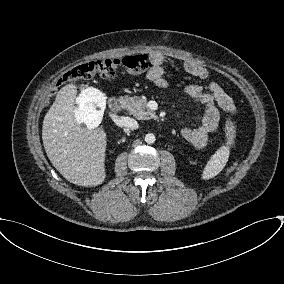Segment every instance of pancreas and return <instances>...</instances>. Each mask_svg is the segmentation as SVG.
Masks as SVG:
<instances>
[{
  "mask_svg": "<svg viewBox=\"0 0 284 284\" xmlns=\"http://www.w3.org/2000/svg\"><path fill=\"white\" fill-rule=\"evenodd\" d=\"M120 101L122 102V107L138 119L148 120L156 118V113L149 109L147 101L143 98L123 96L120 97Z\"/></svg>",
  "mask_w": 284,
  "mask_h": 284,
  "instance_id": "1",
  "label": "pancreas"
}]
</instances>
